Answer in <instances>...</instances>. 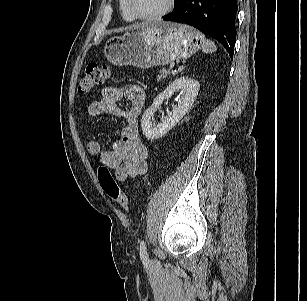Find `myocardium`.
Segmentation results:
<instances>
[{
    "label": "myocardium",
    "instance_id": "myocardium-1",
    "mask_svg": "<svg viewBox=\"0 0 307 301\" xmlns=\"http://www.w3.org/2000/svg\"><path fill=\"white\" fill-rule=\"evenodd\" d=\"M126 2L133 17L137 20H142V21H153L161 19L164 16L168 15L175 6V0H168L167 5L163 10L151 15H142L134 7L132 0H126Z\"/></svg>",
    "mask_w": 307,
    "mask_h": 301
}]
</instances>
